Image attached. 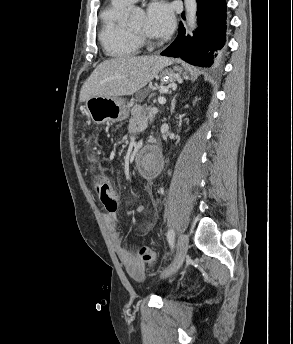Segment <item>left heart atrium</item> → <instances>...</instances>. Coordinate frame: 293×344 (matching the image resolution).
Returning <instances> with one entry per match:
<instances>
[{"instance_id":"obj_1","label":"left heart atrium","mask_w":293,"mask_h":344,"mask_svg":"<svg viewBox=\"0 0 293 344\" xmlns=\"http://www.w3.org/2000/svg\"><path fill=\"white\" fill-rule=\"evenodd\" d=\"M175 26V18L171 7L164 2L151 3L144 19V31L154 38L169 36Z\"/></svg>"}]
</instances>
